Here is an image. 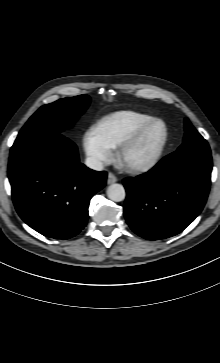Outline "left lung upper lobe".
<instances>
[{
    "mask_svg": "<svg viewBox=\"0 0 220 363\" xmlns=\"http://www.w3.org/2000/svg\"><path fill=\"white\" fill-rule=\"evenodd\" d=\"M184 124H185L184 142L178 149H182L185 147L209 148L207 141L191 125V123L187 118L185 119Z\"/></svg>",
    "mask_w": 220,
    "mask_h": 363,
    "instance_id": "obj_1",
    "label": "left lung upper lobe"
}]
</instances>
